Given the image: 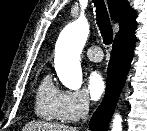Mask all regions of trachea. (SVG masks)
Here are the masks:
<instances>
[{
    "mask_svg": "<svg viewBox=\"0 0 147 131\" xmlns=\"http://www.w3.org/2000/svg\"><path fill=\"white\" fill-rule=\"evenodd\" d=\"M96 7V20L101 30L103 42L109 45L113 40V30L104 0H93Z\"/></svg>",
    "mask_w": 147,
    "mask_h": 131,
    "instance_id": "trachea-1",
    "label": "trachea"
}]
</instances>
